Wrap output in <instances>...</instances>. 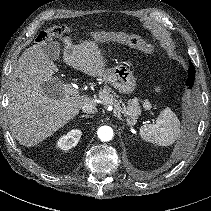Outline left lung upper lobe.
Here are the masks:
<instances>
[{
	"label": "left lung upper lobe",
	"mask_w": 211,
	"mask_h": 211,
	"mask_svg": "<svg viewBox=\"0 0 211 211\" xmlns=\"http://www.w3.org/2000/svg\"><path fill=\"white\" fill-rule=\"evenodd\" d=\"M194 80H195V68H194V65L190 62L189 77H188L186 85L189 88H192L194 84Z\"/></svg>",
	"instance_id": "5c2ea615"
}]
</instances>
